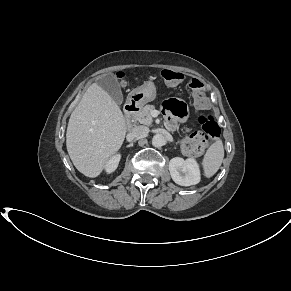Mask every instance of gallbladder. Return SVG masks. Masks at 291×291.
<instances>
[{"label": "gallbladder", "instance_id": "obj_1", "mask_svg": "<svg viewBox=\"0 0 291 291\" xmlns=\"http://www.w3.org/2000/svg\"><path fill=\"white\" fill-rule=\"evenodd\" d=\"M97 84L105 90L117 104H122L123 94L120 84L113 73L102 75L97 80Z\"/></svg>", "mask_w": 291, "mask_h": 291}]
</instances>
